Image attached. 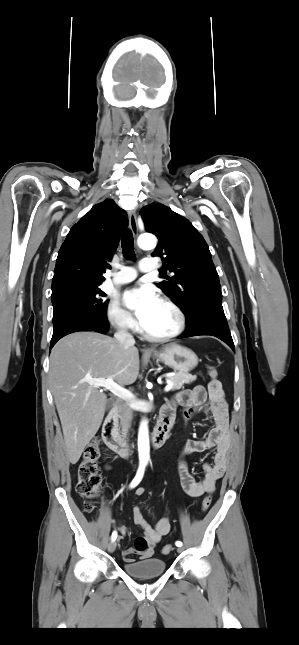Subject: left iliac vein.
<instances>
[{"mask_svg":"<svg viewBox=\"0 0 299 645\" xmlns=\"http://www.w3.org/2000/svg\"><path fill=\"white\" fill-rule=\"evenodd\" d=\"M182 551H183V548H182V547H178V548H177V552L181 553Z\"/></svg>","mask_w":299,"mask_h":645,"instance_id":"4c4485c4","label":"left iliac vein"}]
</instances>
